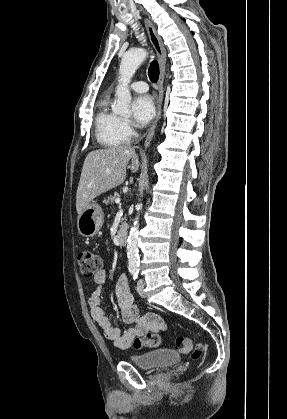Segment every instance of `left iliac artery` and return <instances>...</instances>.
<instances>
[{"instance_id": "obj_1", "label": "left iliac artery", "mask_w": 287, "mask_h": 419, "mask_svg": "<svg viewBox=\"0 0 287 419\" xmlns=\"http://www.w3.org/2000/svg\"><path fill=\"white\" fill-rule=\"evenodd\" d=\"M137 278H138V271L135 274H133V279L136 280Z\"/></svg>"}]
</instances>
